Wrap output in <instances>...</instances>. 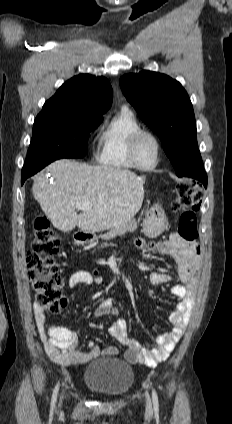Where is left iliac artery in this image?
<instances>
[{"label":"left iliac artery","instance_id":"left-iliac-artery-1","mask_svg":"<svg viewBox=\"0 0 232 424\" xmlns=\"http://www.w3.org/2000/svg\"><path fill=\"white\" fill-rule=\"evenodd\" d=\"M152 399H153L154 409L155 411H157L159 407V403H158V396L155 389H152Z\"/></svg>","mask_w":232,"mask_h":424}]
</instances>
